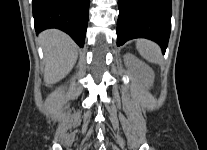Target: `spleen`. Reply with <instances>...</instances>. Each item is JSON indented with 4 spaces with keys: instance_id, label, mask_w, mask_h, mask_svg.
<instances>
[{
    "instance_id": "3e777b00",
    "label": "spleen",
    "mask_w": 207,
    "mask_h": 150,
    "mask_svg": "<svg viewBox=\"0 0 207 150\" xmlns=\"http://www.w3.org/2000/svg\"><path fill=\"white\" fill-rule=\"evenodd\" d=\"M136 48L140 55L147 61L155 64L160 63V48L154 42L145 39H139L136 42Z\"/></svg>"
}]
</instances>
